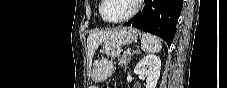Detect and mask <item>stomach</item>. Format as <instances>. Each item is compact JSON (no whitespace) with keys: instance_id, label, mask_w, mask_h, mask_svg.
<instances>
[{"instance_id":"0dacf381","label":"stomach","mask_w":227,"mask_h":88,"mask_svg":"<svg viewBox=\"0 0 227 88\" xmlns=\"http://www.w3.org/2000/svg\"><path fill=\"white\" fill-rule=\"evenodd\" d=\"M139 32L132 27H121L115 29L113 33L104 41L103 50L111 57L119 56L122 47L130 45L138 37ZM113 64L107 59L95 61L92 68V79L97 82L106 80L112 73Z\"/></svg>"}]
</instances>
